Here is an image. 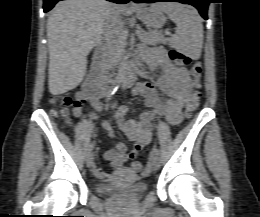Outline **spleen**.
<instances>
[{
	"label": "spleen",
	"instance_id": "3e777b00",
	"mask_svg": "<svg viewBox=\"0 0 260 217\" xmlns=\"http://www.w3.org/2000/svg\"><path fill=\"white\" fill-rule=\"evenodd\" d=\"M152 7L177 25L176 33L168 39L169 46L197 57L203 43V25L196 11L179 3H158Z\"/></svg>",
	"mask_w": 260,
	"mask_h": 217
}]
</instances>
